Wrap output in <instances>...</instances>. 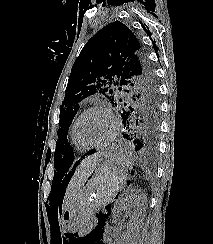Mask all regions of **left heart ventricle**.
<instances>
[{
  "mask_svg": "<svg viewBox=\"0 0 213 244\" xmlns=\"http://www.w3.org/2000/svg\"><path fill=\"white\" fill-rule=\"evenodd\" d=\"M112 132L109 117L101 111H93L83 117L78 125V135L87 144H99Z\"/></svg>",
  "mask_w": 213,
  "mask_h": 244,
  "instance_id": "left-heart-ventricle-1",
  "label": "left heart ventricle"
}]
</instances>
